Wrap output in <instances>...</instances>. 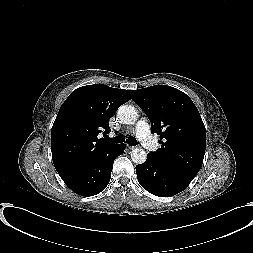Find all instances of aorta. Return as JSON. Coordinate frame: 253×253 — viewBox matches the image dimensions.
Here are the masks:
<instances>
[{
	"instance_id": "1",
	"label": "aorta",
	"mask_w": 253,
	"mask_h": 253,
	"mask_svg": "<svg viewBox=\"0 0 253 253\" xmlns=\"http://www.w3.org/2000/svg\"><path fill=\"white\" fill-rule=\"evenodd\" d=\"M117 114L123 124H133L138 118L137 110L131 105L120 106ZM131 159L136 164H143L147 159V153L142 148H134L131 151Z\"/></svg>"
}]
</instances>
